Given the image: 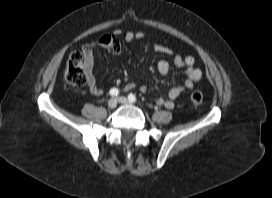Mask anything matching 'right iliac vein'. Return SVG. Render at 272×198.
<instances>
[{"label":"right iliac vein","instance_id":"63e3f726","mask_svg":"<svg viewBox=\"0 0 272 198\" xmlns=\"http://www.w3.org/2000/svg\"><path fill=\"white\" fill-rule=\"evenodd\" d=\"M118 102H117V99L115 98H111L109 101H108V107L113 109V108H116Z\"/></svg>","mask_w":272,"mask_h":198}]
</instances>
